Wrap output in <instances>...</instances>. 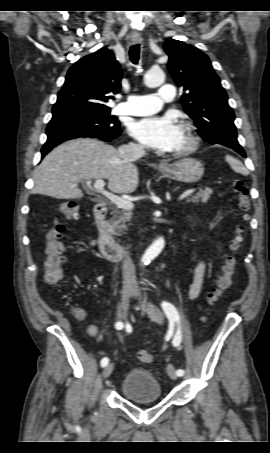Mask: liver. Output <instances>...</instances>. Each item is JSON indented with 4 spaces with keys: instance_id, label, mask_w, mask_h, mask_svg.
Returning a JSON list of instances; mask_svg holds the SVG:
<instances>
[{
    "instance_id": "obj_1",
    "label": "liver",
    "mask_w": 270,
    "mask_h": 453,
    "mask_svg": "<svg viewBox=\"0 0 270 453\" xmlns=\"http://www.w3.org/2000/svg\"><path fill=\"white\" fill-rule=\"evenodd\" d=\"M107 179L108 189L130 194L138 186V169L120 158L111 145L91 138L69 140L54 148L36 168L33 194L56 199H80L78 183Z\"/></svg>"
}]
</instances>
